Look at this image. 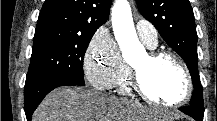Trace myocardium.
Returning a JSON list of instances; mask_svg holds the SVG:
<instances>
[{
    "label": "myocardium",
    "mask_w": 217,
    "mask_h": 121,
    "mask_svg": "<svg viewBox=\"0 0 217 121\" xmlns=\"http://www.w3.org/2000/svg\"><path fill=\"white\" fill-rule=\"evenodd\" d=\"M147 58L152 63L158 62L159 60L163 58L171 59L179 67V69L181 70L184 76L185 90L183 92V95L178 100L171 102V103L162 102L159 99L154 98L148 93L143 83V79H142V75L140 71L137 68L131 66L130 68L131 81H132V86L134 90L136 91V93L144 100L150 103L156 104V105L164 106V107L176 108V107H180L183 104H185L192 95L193 82H192L190 71L186 63L183 61V59L177 54L171 51H167V50H153L147 54Z\"/></svg>",
    "instance_id": "obj_1"
}]
</instances>
